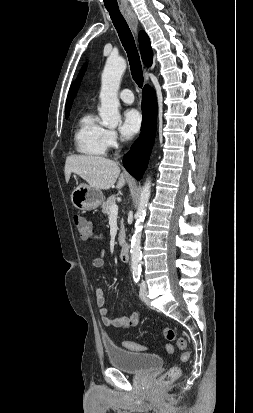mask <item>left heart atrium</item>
<instances>
[{
    "instance_id": "left-heart-atrium-1",
    "label": "left heart atrium",
    "mask_w": 253,
    "mask_h": 413,
    "mask_svg": "<svg viewBox=\"0 0 253 413\" xmlns=\"http://www.w3.org/2000/svg\"><path fill=\"white\" fill-rule=\"evenodd\" d=\"M141 124L140 113L136 109L130 108L124 111L119 129L125 139H131L139 132Z\"/></svg>"
}]
</instances>
